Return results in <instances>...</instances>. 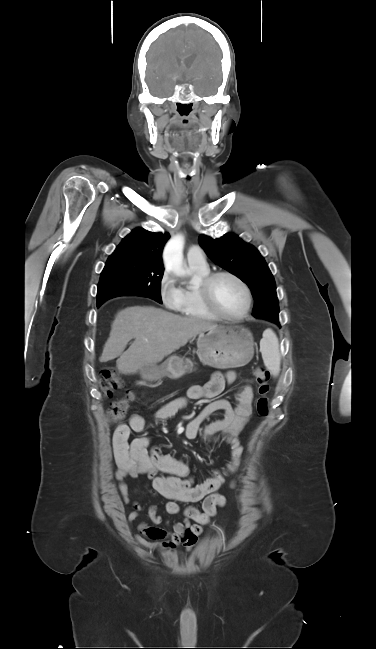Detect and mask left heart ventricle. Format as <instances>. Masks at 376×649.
Masks as SVG:
<instances>
[{
    "label": "left heart ventricle",
    "instance_id": "left-heart-ventricle-1",
    "mask_svg": "<svg viewBox=\"0 0 376 649\" xmlns=\"http://www.w3.org/2000/svg\"><path fill=\"white\" fill-rule=\"evenodd\" d=\"M212 294L216 305L228 315H239L245 308V293L230 277H219L214 283Z\"/></svg>",
    "mask_w": 376,
    "mask_h": 649
}]
</instances>
